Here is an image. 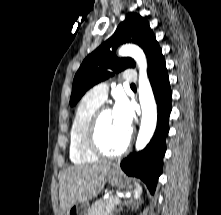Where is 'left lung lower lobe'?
Wrapping results in <instances>:
<instances>
[{
    "label": "left lung lower lobe",
    "mask_w": 221,
    "mask_h": 215,
    "mask_svg": "<svg viewBox=\"0 0 221 215\" xmlns=\"http://www.w3.org/2000/svg\"><path fill=\"white\" fill-rule=\"evenodd\" d=\"M148 77L157 103V127L146 148L138 153L130 154L121 162L120 166L127 175L143 180L153 194L158 177L162 173L163 156L166 151L165 138L169 131L168 119L172 99L169 77L161 50L148 65Z\"/></svg>",
    "instance_id": "0a47b994"
}]
</instances>
